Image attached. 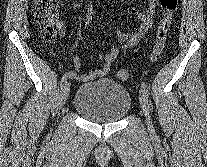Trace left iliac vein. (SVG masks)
Wrapping results in <instances>:
<instances>
[{"label": "left iliac vein", "instance_id": "4c4485c4", "mask_svg": "<svg viewBox=\"0 0 207 167\" xmlns=\"http://www.w3.org/2000/svg\"><path fill=\"white\" fill-rule=\"evenodd\" d=\"M139 101H140V105L141 108L146 116V120H147V126H148V130L150 133H154V127H153V123L150 117V112H149V106H148V100L146 95L144 94V92L142 91V89L140 90L139 93Z\"/></svg>", "mask_w": 207, "mask_h": 167}]
</instances>
